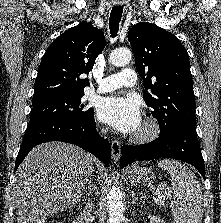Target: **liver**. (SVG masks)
<instances>
[{
	"mask_svg": "<svg viewBox=\"0 0 221 223\" xmlns=\"http://www.w3.org/2000/svg\"><path fill=\"white\" fill-rule=\"evenodd\" d=\"M95 162L91 154L67 143L48 142L33 148L15 175L18 223H44L75 206Z\"/></svg>",
	"mask_w": 221,
	"mask_h": 223,
	"instance_id": "6515ba94",
	"label": "liver"
}]
</instances>
